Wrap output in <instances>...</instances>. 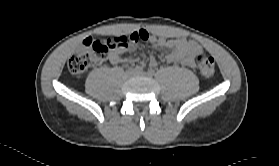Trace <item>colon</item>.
Segmentation results:
<instances>
[{
  "mask_svg": "<svg viewBox=\"0 0 279 166\" xmlns=\"http://www.w3.org/2000/svg\"><path fill=\"white\" fill-rule=\"evenodd\" d=\"M134 41L135 39L130 36L86 38L81 48L68 59V69L75 75H81L92 66L107 60L111 51L125 48ZM196 64L202 75L211 76L214 73L215 61L210 55L198 54Z\"/></svg>",
  "mask_w": 279,
  "mask_h": 166,
  "instance_id": "obj_1",
  "label": "colon"
}]
</instances>
